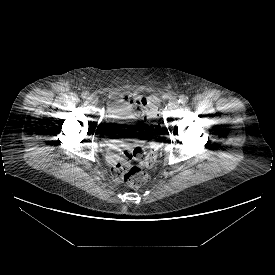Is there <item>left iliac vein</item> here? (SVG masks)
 <instances>
[{"instance_id":"obj_1","label":"left iliac vein","mask_w":275,"mask_h":275,"mask_svg":"<svg viewBox=\"0 0 275 275\" xmlns=\"http://www.w3.org/2000/svg\"><path fill=\"white\" fill-rule=\"evenodd\" d=\"M178 106H179L178 100L173 98L168 103L167 111H173V110L177 109Z\"/></svg>"}]
</instances>
